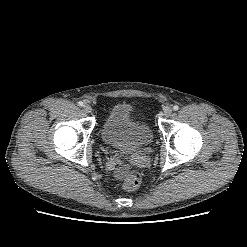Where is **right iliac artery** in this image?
<instances>
[{"label":"right iliac artery","mask_w":247,"mask_h":247,"mask_svg":"<svg viewBox=\"0 0 247 247\" xmlns=\"http://www.w3.org/2000/svg\"><path fill=\"white\" fill-rule=\"evenodd\" d=\"M78 105H79L80 107H82V106H84V103H83L82 101H79V102H78Z\"/></svg>","instance_id":"82829eb1"}]
</instances>
